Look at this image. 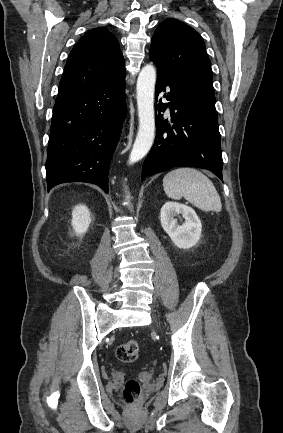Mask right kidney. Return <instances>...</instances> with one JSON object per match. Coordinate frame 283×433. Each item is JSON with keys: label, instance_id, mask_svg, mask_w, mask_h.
<instances>
[{"label": "right kidney", "instance_id": "1", "mask_svg": "<svg viewBox=\"0 0 283 433\" xmlns=\"http://www.w3.org/2000/svg\"><path fill=\"white\" fill-rule=\"evenodd\" d=\"M91 222L90 211L85 205H77L72 211V227L77 235L87 232Z\"/></svg>", "mask_w": 283, "mask_h": 433}]
</instances>
